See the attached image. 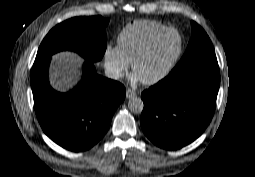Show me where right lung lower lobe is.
Listing matches in <instances>:
<instances>
[{
  "label": "right lung lower lobe",
  "instance_id": "right-lung-lower-lobe-1",
  "mask_svg": "<svg viewBox=\"0 0 255 177\" xmlns=\"http://www.w3.org/2000/svg\"><path fill=\"white\" fill-rule=\"evenodd\" d=\"M50 59H35L31 71L38 121L45 134L63 148L87 150L107 132L115 110L125 98V88L97 75L93 62L86 60L78 86L68 93H58L48 81Z\"/></svg>",
  "mask_w": 255,
  "mask_h": 177
}]
</instances>
